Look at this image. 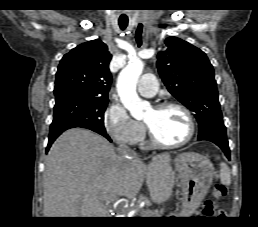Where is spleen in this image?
<instances>
[{
  "instance_id": "obj_1",
  "label": "spleen",
  "mask_w": 258,
  "mask_h": 227,
  "mask_svg": "<svg viewBox=\"0 0 258 227\" xmlns=\"http://www.w3.org/2000/svg\"><path fill=\"white\" fill-rule=\"evenodd\" d=\"M220 180H221V183L224 185L228 186L231 184L230 170L225 163L220 164Z\"/></svg>"
}]
</instances>
